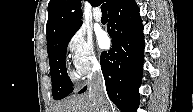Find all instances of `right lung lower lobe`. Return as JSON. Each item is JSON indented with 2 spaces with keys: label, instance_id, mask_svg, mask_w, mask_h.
I'll return each instance as SVG.
<instances>
[{
  "label": "right lung lower lobe",
  "instance_id": "1",
  "mask_svg": "<svg viewBox=\"0 0 193 112\" xmlns=\"http://www.w3.org/2000/svg\"><path fill=\"white\" fill-rule=\"evenodd\" d=\"M108 33L112 48L102 52L100 60L108 96L122 112H135L143 72L144 35L134 0H121L109 11Z\"/></svg>",
  "mask_w": 193,
  "mask_h": 112
}]
</instances>
